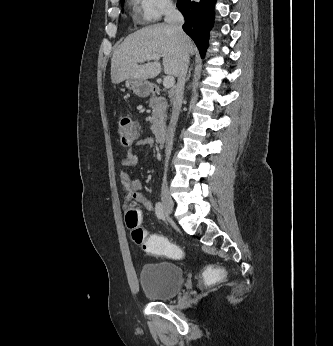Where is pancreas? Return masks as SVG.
Segmentation results:
<instances>
[{"label": "pancreas", "mask_w": 333, "mask_h": 346, "mask_svg": "<svg viewBox=\"0 0 333 346\" xmlns=\"http://www.w3.org/2000/svg\"><path fill=\"white\" fill-rule=\"evenodd\" d=\"M149 105L153 109L150 118L151 130L154 134H157L165 125L168 103L163 97L153 96L149 99Z\"/></svg>", "instance_id": "cf45deb5"}]
</instances>
